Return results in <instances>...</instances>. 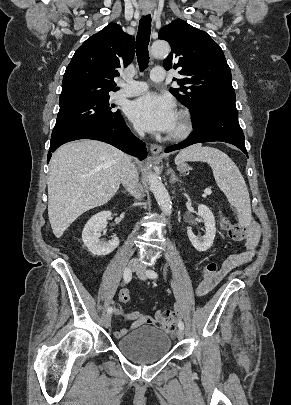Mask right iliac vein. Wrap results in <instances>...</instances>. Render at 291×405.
<instances>
[{
  "instance_id": "1",
  "label": "right iliac vein",
  "mask_w": 291,
  "mask_h": 405,
  "mask_svg": "<svg viewBox=\"0 0 291 405\" xmlns=\"http://www.w3.org/2000/svg\"><path fill=\"white\" fill-rule=\"evenodd\" d=\"M138 262L136 260H131L128 263V267L131 271H135L138 268ZM110 322H111V315L110 314H106L103 318V323L105 327H109L110 326Z\"/></svg>"
}]
</instances>
